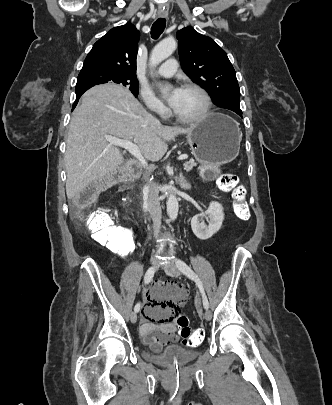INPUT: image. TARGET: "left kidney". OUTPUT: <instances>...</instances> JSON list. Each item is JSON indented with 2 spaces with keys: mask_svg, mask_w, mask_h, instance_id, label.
Returning a JSON list of instances; mask_svg holds the SVG:
<instances>
[{
  "mask_svg": "<svg viewBox=\"0 0 332 405\" xmlns=\"http://www.w3.org/2000/svg\"><path fill=\"white\" fill-rule=\"evenodd\" d=\"M204 220L208 222V225ZM223 220L222 205L218 202H211L208 210L192 218L191 228L197 238L207 240L220 230Z\"/></svg>",
  "mask_w": 332,
  "mask_h": 405,
  "instance_id": "left-kidney-1",
  "label": "left kidney"
}]
</instances>
